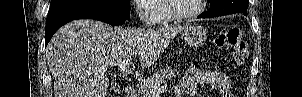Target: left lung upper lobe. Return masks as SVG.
<instances>
[{
    "label": "left lung upper lobe",
    "instance_id": "obj_1",
    "mask_svg": "<svg viewBox=\"0 0 302 97\" xmlns=\"http://www.w3.org/2000/svg\"><path fill=\"white\" fill-rule=\"evenodd\" d=\"M210 3V12L218 15H226L242 12L246 14L248 0H208Z\"/></svg>",
    "mask_w": 302,
    "mask_h": 97
}]
</instances>
